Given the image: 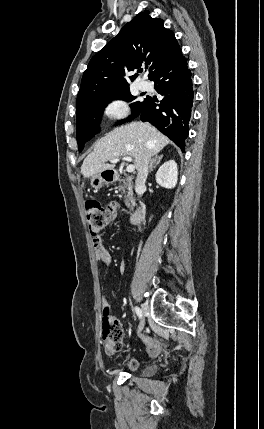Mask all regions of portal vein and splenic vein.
<instances>
[{
  "mask_svg": "<svg viewBox=\"0 0 264 429\" xmlns=\"http://www.w3.org/2000/svg\"><path fill=\"white\" fill-rule=\"evenodd\" d=\"M123 160H127V161H131L132 158L129 156L123 157ZM120 159L119 158H114L112 160H110L111 163H116L118 162ZM127 172H133L135 170V166L133 164H129L126 168Z\"/></svg>",
  "mask_w": 264,
  "mask_h": 429,
  "instance_id": "1",
  "label": "portal vein and splenic vein"
}]
</instances>
